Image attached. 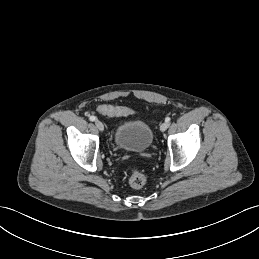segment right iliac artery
Here are the masks:
<instances>
[{
    "label": "right iliac artery",
    "instance_id": "right-iliac-artery-1",
    "mask_svg": "<svg viewBox=\"0 0 259 259\" xmlns=\"http://www.w3.org/2000/svg\"><path fill=\"white\" fill-rule=\"evenodd\" d=\"M90 121H95L96 120V117L95 116H90Z\"/></svg>",
    "mask_w": 259,
    "mask_h": 259
}]
</instances>
